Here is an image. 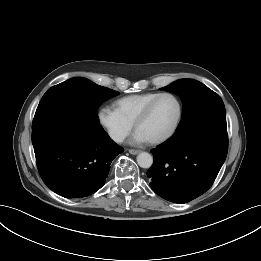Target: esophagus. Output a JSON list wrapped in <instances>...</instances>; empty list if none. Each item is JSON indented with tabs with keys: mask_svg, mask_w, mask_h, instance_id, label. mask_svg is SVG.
<instances>
[{
	"mask_svg": "<svg viewBox=\"0 0 261 261\" xmlns=\"http://www.w3.org/2000/svg\"><path fill=\"white\" fill-rule=\"evenodd\" d=\"M129 153L132 155H136V154L140 153V150L129 149Z\"/></svg>",
	"mask_w": 261,
	"mask_h": 261,
	"instance_id": "34e87169",
	"label": "esophagus"
}]
</instances>
